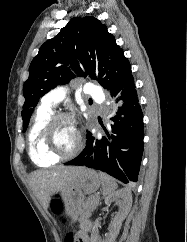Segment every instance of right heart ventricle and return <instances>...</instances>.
Listing matches in <instances>:
<instances>
[{
    "label": "right heart ventricle",
    "mask_w": 187,
    "mask_h": 242,
    "mask_svg": "<svg viewBox=\"0 0 187 242\" xmlns=\"http://www.w3.org/2000/svg\"><path fill=\"white\" fill-rule=\"evenodd\" d=\"M52 115V107L44 104L41 105L35 114L28 134L30 158L35 164L41 167L54 165L59 161V159L49 156L45 153L41 142L43 129Z\"/></svg>",
    "instance_id": "obj_1"
}]
</instances>
